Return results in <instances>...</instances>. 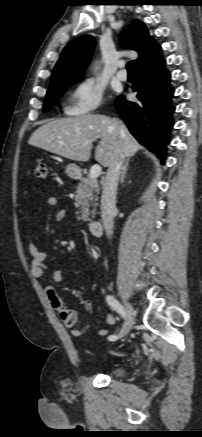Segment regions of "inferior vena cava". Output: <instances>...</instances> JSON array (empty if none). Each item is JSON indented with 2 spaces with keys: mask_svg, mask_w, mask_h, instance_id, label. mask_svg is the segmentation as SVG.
I'll return each mask as SVG.
<instances>
[{
  "mask_svg": "<svg viewBox=\"0 0 202 437\" xmlns=\"http://www.w3.org/2000/svg\"><path fill=\"white\" fill-rule=\"evenodd\" d=\"M124 155L121 150H117V155L113 163L108 167L103 183L101 197V214L105 232L108 237L113 234L114 216L116 213V194L119 175L124 162Z\"/></svg>",
  "mask_w": 202,
  "mask_h": 437,
  "instance_id": "inferior-vena-cava-1",
  "label": "inferior vena cava"
}]
</instances>
